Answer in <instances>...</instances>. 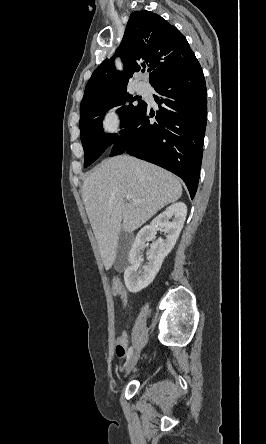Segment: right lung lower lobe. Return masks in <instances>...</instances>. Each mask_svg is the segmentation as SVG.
I'll return each instance as SVG.
<instances>
[{"label": "right lung lower lobe", "mask_w": 266, "mask_h": 444, "mask_svg": "<svg viewBox=\"0 0 266 444\" xmlns=\"http://www.w3.org/2000/svg\"><path fill=\"white\" fill-rule=\"evenodd\" d=\"M159 110L142 113L117 136L110 156L128 153L178 175L194 197L207 122L206 84L199 62L152 85ZM155 116L156 122L150 118Z\"/></svg>", "instance_id": "right-lung-lower-lobe-1"}]
</instances>
